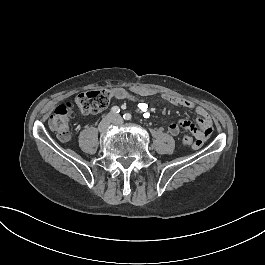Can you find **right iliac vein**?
Instances as JSON below:
<instances>
[{"mask_svg":"<svg viewBox=\"0 0 265 265\" xmlns=\"http://www.w3.org/2000/svg\"><path fill=\"white\" fill-rule=\"evenodd\" d=\"M112 122V115H107L99 124L98 129L100 131H105L110 123Z\"/></svg>","mask_w":265,"mask_h":265,"instance_id":"63e3f726","label":"right iliac vein"}]
</instances>
